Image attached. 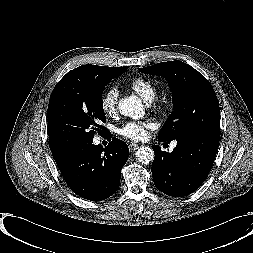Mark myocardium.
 Listing matches in <instances>:
<instances>
[{"label":"myocardium","mask_w":253,"mask_h":253,"mask_svg":"<svg viewBox=\"0 0 253 253\" xmlns=\"http://www.w3.org/2000/svg\"><path fill=\"white\" fill-rule=\"evenodd\" d=\"M152 107L154 110L159 111L161 109V104L157 102H153Z\"/></svg>","instance_id":"myocardium-1"}]
</instances>
